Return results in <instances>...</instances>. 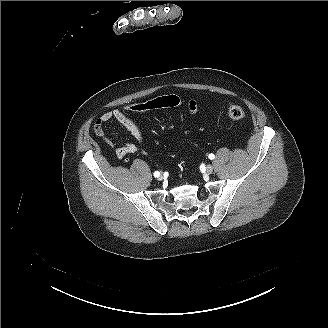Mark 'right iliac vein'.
I'll return each mask as SVG.
<instances>
[{"label":"right iliac vein","mask_w":328,"mask_h":328,"mask_svg":"<svg viewBox=\"0 0 328 328\" xmlns=\"http://www.w3.org/2000/svg\"><path fill=\"white\" fill-rule=\"evenodd\" d=\"M162 179H163V176H162V175H159V176H158V180L161 181Z\"/></svg>","instance_id":"63e3f726"}]
</instances>
